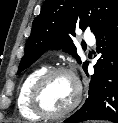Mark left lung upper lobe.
Listing matches in <instances>:
<instances>
[{
  "instance_id": "5c2ea615",
  "label": "left lung upper lobe",
  "mask_w": 118,
  "mask_h": 123,
  "mask_svg": "<svg viewBox=\"0 0 118 123\" xmlns=\"http://www.w3.org/2000/svg\"><path fill=\"white\" fill-rule=\"evenodd\" d=\"M116 16L118 0H45L33 21L18 74L50 48H62L81 63L73 43L75 29L90 28L97 35ZM86 66L87 62H84L83 68Z\"/></svg>"
}]
</instances>
